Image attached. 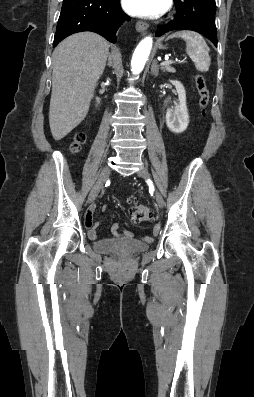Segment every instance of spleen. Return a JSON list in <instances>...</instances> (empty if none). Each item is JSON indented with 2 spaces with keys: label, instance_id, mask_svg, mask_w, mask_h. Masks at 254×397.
<instances>
[{
  "label": "spleen",
  "instance_id": "obj_1",
  "mask_svg": "<svg viewBox=\"0 0 254 397\" xmlns=\"http://www.w3.org/2000/svg\"><path fill=\"white\" fill-rule=\"evenodd\" d=\"M174 37L182 38L186 42L187 55L194 62L196 69L201 72H207L211 58L209 56V47L203 37L196 32L183 30L168 36L167 40Z\"/></svg>",
  "mask_w": 254,
  "mask_h": 397
}]
</instances>
